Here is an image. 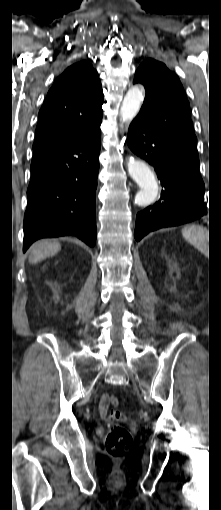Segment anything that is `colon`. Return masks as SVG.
Here are the masks:
<instances>
[{
    "label": "colon",
    "mask_w": 221,
    "mask_h": 510,
    "mask_svg": "<svg viewBox=\"0 0 221 510\" xmlns=\"http://www.w3.org/2000/svg\"><path fill=\"white\" fill-rule=\"evenodd\" d=\"M118 403V399L112 396L110 404L112 406H117ZM108 419L110 422H115L122 421L125 417L122 413L112 410L108 415ZM132 442V436L129 431L121 425H115L108 430L104 446L109 455L119 457L129 451L132 446Z\"/></svg>",
    "instance_id": "5ec220e1"
}]
</instances>
